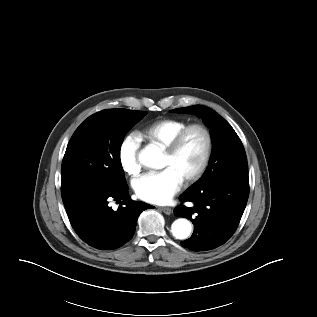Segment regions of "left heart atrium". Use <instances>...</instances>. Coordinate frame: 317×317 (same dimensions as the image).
Masks as SVG:
<instances>
[{
    "instance_id": "39dd6f15",
    "label": "left heart atrium",
    "mask_w": 317,
    "mask_h": 317,
    "mask_svg": "<svg viewBox=\"0 0 317 317\" xmlns=\"http://www.w3.org/2000/svg\"><path fill=\"white\" fill-rule=\"evenodd\" d=\"M182 182V177L173 168H166L138 178L134 182V190L146 202L165 204L179 191Z\"/></svg>"
}]
</instances>
